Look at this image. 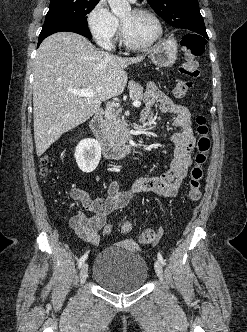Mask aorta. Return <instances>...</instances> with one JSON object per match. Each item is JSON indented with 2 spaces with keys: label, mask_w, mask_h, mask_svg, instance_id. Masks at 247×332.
I'll use <instances>...</instances> for the list:
<instances>
[{
  "label": "aorta",
  "mask_w": 247,
  "mask_h": 332,
  "mask_svg": "<svg viewBox=\"0 0 247 332\" xmlns=\"http://www.w3.org/2000/svg\"><path fill=\"white\" fill-rule=\"evenodd\" d=\"M111 11L114 15L120 17L130 12V4L126 0H108Z\"/></svg>",
  "instance_id": "1"
}]
</instances>
